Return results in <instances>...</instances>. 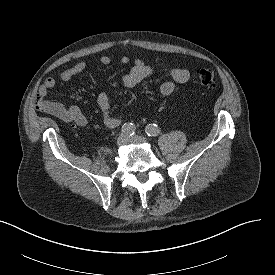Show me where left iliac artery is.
<instances>
[{
  "mask_svg": "<svg viewBox=\"0 0 275 275\" xmlns=\"http://www.w3.org/2000/svg\"><path fill=\"white\" fill-rule=\"evenodd\" d=\"M145 132L150 137H156L160 133V128L156 124H149L145 128Z\"/></svg>",
  "mask_w": 275,
  "mask_h": 275,
  "instance_id": "1",
  "label": "left iliac artery"
}]
</instances>
